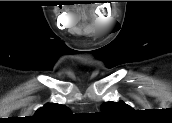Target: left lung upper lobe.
Listing matches in <instances>:
<instances>
[{"label": "left lung upper lobe", "instance_id": "obj_1", "mask_svg": "<svg viewBox=\"0 0 172 123\" xmlns=\"http://www.w3.org/2000/svg\"><path fill=\"white\" fill-rule=\"evenodd\" d=\"M132 108L125 104L123 101L119 102H104L101 105V111L102 113H108V114H121L124 112L130 111Z\"/></svg>", "mask_w": 172, "mask_h": 123}]
</instances>
